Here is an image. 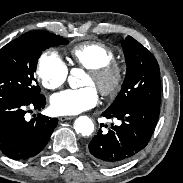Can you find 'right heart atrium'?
Instances as JSON below:
<instances>
[{
  "label": "right heart atrium",
  "mask_w": 183,
  "mask_h": 183,
  "mask_svg": "<svg viewBox=\"0 0 183 183\" xmlns=\"http://www.w3.org/2000/svg\"><path fill=\"white\" fill-rule=\"evenodd\" d=\"M36 77L44 88L57 89L66 82L68 68L57 52L45 51L38 59Z\"/></svg>",
  "instance_id": "obj_1"
}]
</instances>
